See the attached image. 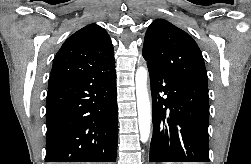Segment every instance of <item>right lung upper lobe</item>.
I'll return each instance as SVG.
<instances>
[{"label":"right lung upper lobe","instance_id":"cb5924a9","mask_svg":"<svg viewBox=\"0 0 251 164\" xmlns=\"http://www.w3.org/2000/svg\"><path fill=\"white\" fill-rule=\"evenodd\" d=\"M114 65V50L108 33L97 24H89L71 35L57 52L48 88L106 71Z\"/></svg>","mask_w":251,"mask_h":164}]
</instances>
